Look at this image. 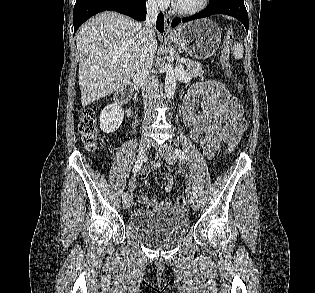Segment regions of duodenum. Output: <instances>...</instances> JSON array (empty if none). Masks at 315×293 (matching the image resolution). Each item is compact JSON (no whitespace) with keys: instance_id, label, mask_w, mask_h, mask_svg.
I'll use <instances>...</instances> for the list:
<instances>
[{"instance_id":"duodenum-1","label":"duodenum","mask_w":315,"mask_h":293,"mask_svg":"<svg viewBox=\"0 0 315 293\" xmlns=\"http://www.w3.org/2000/svg\"><path fill=\"white\" fill-rule=\"evenodd\" d=\"M130 94H131V89L129 87H124L118 90L114 96V100L116 104L124 108L130 97ZM126 112L128 116L132 115V111L130 109H127Z\"/></svg>"}]
</instances>
